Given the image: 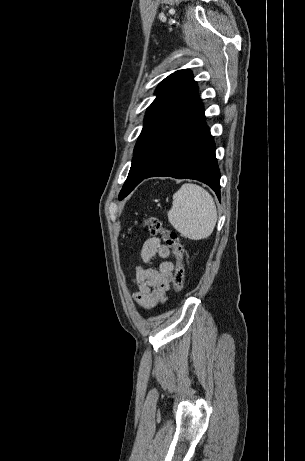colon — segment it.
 <instances>
[{
	"label": "colon",
	"instance_id": "obj_1",
	"mask_svg": "<svg viewBox=\"0 0 305 461\" xmlns=\"http://www.w3.org/2000/svg\"><path fill=\"white\" fill-rule=\"evenodd\" d=\"M142 225L145 226L149 233L153 236H161L165 241L167 246L173 250L175 258V273H174V289L177 292H180L185 283V268L183 263L184 248L179 240L178 235L163 226L161 221L155 217L145 219L142 222Z\"/></svg>",
	"mask_w": 305,
	"mask_h": 461
}]
</instances>
